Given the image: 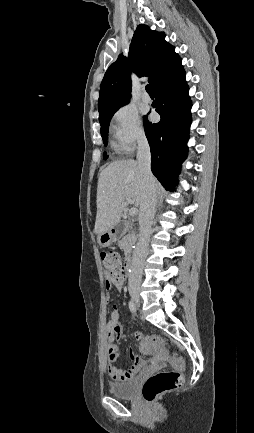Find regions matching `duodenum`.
Here are the masks:
<instances>
[{
    "mask_svg": "<svg viewBox=\"0 0 254 433\" xmlns=\"http://www.w3.org/2000/svg\"><path fill=\"white\" fill-rule=\"evenodd\" d=\"M120 228H121V224L120 223L114 224L111 227L110 232H111V234H112V236L114 238H116L118 236ZM124 265H125V269L126 270H129V271L131 270V267H132V257L130 256L129 253L126 254V259H125Z\"/></svg>",
    "mask_w": 254,
    "mask_h": 433,
    "instance_id": "410a0bca",
    "label": "duodenum"
}]
</instances>
